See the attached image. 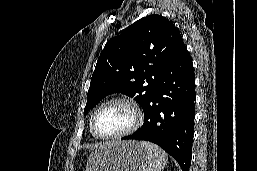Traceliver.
<instances>
[{"instance_id": "liver-1", "label": "liver", "mask_w": 257, "mask_h": 171, "mask_svg": "<svg viewBox=\"0 0 257 171\" xmlns=\"http://www.w3.org/2000/svg\"><path fill=\"white\" fill-rule=\"evenodd\" d=\"M112 143H113V142L101 143V144H99V145H97V146L94 147V151H95V150H98V149H101V148H103V147H105V146L111 145Z\"/></svg>"}]
</instances>
